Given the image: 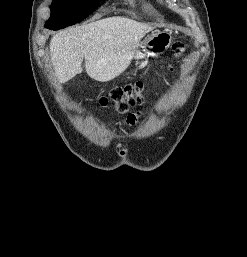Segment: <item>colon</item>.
<instances>
[{
  "instance_id": "5ec220e1",
  "label": "colon",
  "mask_w": 247,
  "mask_h": 257,
  "mask_svg": "<svg viewBox=\"0 0 247 257\" xmlns=\"http://www.w3.org/2000/svg\"><path fill=\"white\" fill-rule=\"evenodd\" d=\"M174 49L176 59H179L185 53V47L182 44L176 45ZM142 91L143 85L140 82L117 87L107 96L101 97L99 103L103 107L112 105L119 113L124 114L127 113L131 107L142 104Z\"/></svg>"
}]
</instances>
